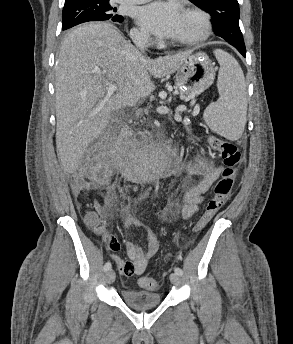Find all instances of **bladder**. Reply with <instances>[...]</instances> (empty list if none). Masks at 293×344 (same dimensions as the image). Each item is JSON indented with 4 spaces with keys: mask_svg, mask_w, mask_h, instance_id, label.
Wrapping results in <instances>:
<instances>
[{
    "mask_svg": "<svg viewBox=\"0 0 293 344\" xmlns=\"http://www.w3.org/2000/svg\"><path fill=\"white\" fill-rule=\"evenodd\" d=\"M121 296L127 305L137 310L154 308L162 303V295L157 292L123 288Z\"/></svg>",
    "mask_w": 293,
    "mask_h": 344,
    "instance_id": "1",
    "label": "bladder"
}]
</instances>
